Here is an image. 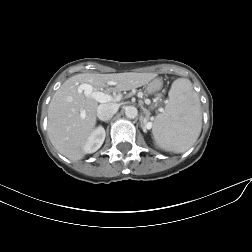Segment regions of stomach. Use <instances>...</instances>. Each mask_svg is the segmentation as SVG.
<instances>
[{
  "label": "stomach",
  "mask_w": 252,
  "mask_h": 252,
  "mask_svg": "<svg viewBox=\"0 0 252 252\" xmlns=\"http://www.w3.org/2000/svg\"><path fill=\"white\" fill-rule=\"evenodd\" d=\"M162 88V81L160 79H154L146 86V91L149 94H153Z\"/></svg>",
  "instance_id": "obj_1"
}]
</instances>
